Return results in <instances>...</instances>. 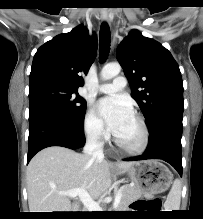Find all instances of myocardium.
<instances>
[{
	"label": "myocardium",
	"mask_w": 203,
	"mask_h": 219,
	"mask_svg": "<svg viewBox=\"0 0 203 219\" xmlns=\"http://www.w3.org/2000/svg\"><path fill=\"white\" fill-rule=\"evenodd\" d=\"M133 116L137 120V122L139 123L141 131H142V138H141L140 143L136 146H128V145L122 143L116 137L115 134L113 135V140H114L115 145L123 152L128 153L130 155H140V154L144 153L148 147L149 140H150V134H149L148 126H147L144 118L138 113H133Z\"/></svg>",
	"instance_id": "1"
}]
</instances>
